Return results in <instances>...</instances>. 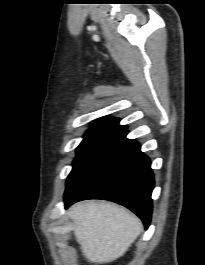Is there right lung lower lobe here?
<instances>
[{"instance_id": "right-lung-lower-lobe-1", "label": "right lung lower lobe", "mask_w": 205, "mask_h": 265, "mask_svg": "<svg viewBox=\"0 0 205 265\" xmlns=\"http://www.w3.org/2000/svg\"><path fill=\"white\" fill-rule=\"evenodd\" d=\"M126 130L64 194L66 208L85 199L119 203L139 216L148 228L152 213L154 176L140 145Z\"/></svg>"}]
</instances>
